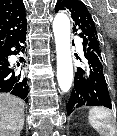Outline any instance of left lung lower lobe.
<instances>
[{
  "label": "left lung lower lobe",
  "mask_w": 117,
  "mask_h": 136,
  "mask_svg": "<svg viewBox=\"0 0 117 136\" xmlns=\"http://www.w3.org/2000/svg\"><path fill=\"white\" fill-rule=\"evenodd\" d=\"M84 47V68H77L74 87L67 103V115L81 106H104L112 109L102 60Z\"/></svg>",
  "instance_id": "left-lung-lower-lobe-1"
}]
</instances>
